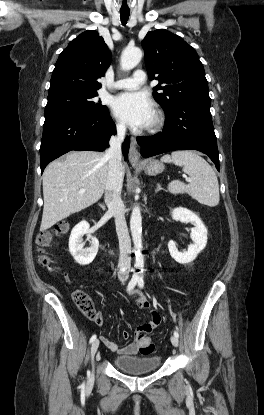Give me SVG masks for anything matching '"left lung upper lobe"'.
Masks as SVG:
<instances>
[{
    "mask_svg": "<svg viewBox=\"0 0 264 415\" xmlns=\"http://www.w3.org/2000/svg\"><path fill=\"white\" fill-rule=\"evenodd\" d=\"M142 46L154 98L168 112L187 100L210 101L203 64L197 52L181 37L164 29L148 32Z\"/></svg>",
    "mask_w": 264,
    "mask_h": 415,
    "instance_id": "left-lung-upper-lobe-1",
    "label": "left lung upper lobe"
}]
</instances>
